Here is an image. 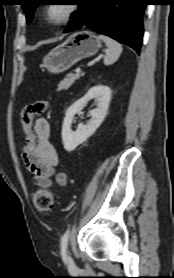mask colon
<instances>
[{
	"label": "colon",
	"mask_w": 174,
	"mask_h": 278,
	"mask_svg": "<svg viewBox=\"0 0 174 278\" xmlns=\"http://www.w3.org/2000/svg\"><path fill=\"white\" fill-rule=\"evenodd\" d=\"M48 102L40 100L27 105L21 114V122L25 132L22 155H28L35 151L37 138L33 129V119L35 116L44 113L48 109ZM33 202L40 212H49L53 208L54 198L50 191L37 189L33 192Z\"/></svg>",
	"instance_id": "obj_1"
}]
</instances>
